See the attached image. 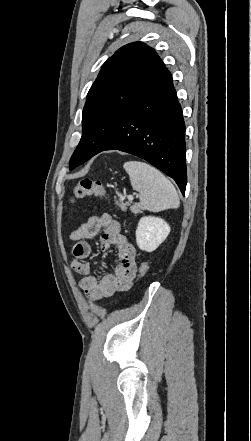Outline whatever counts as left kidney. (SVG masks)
Returning <instances> with one entry per match:
<instances>
[{"mask_svg": "<svg viewBox=\"0 0 251 441\" xmlns=\"http://www.w3.org/2000/svg\"><path fill=\"white\" fill-rule=\"evenodd\" d=\"M170 233V226L161 218L144 216L136 229L137 246L146 252L156 250Z\"/></svg>", "mask_w": 251, "mask_h": 441, "instance_id": "5707ae66", "label": "left kidney"}]
</instances>
